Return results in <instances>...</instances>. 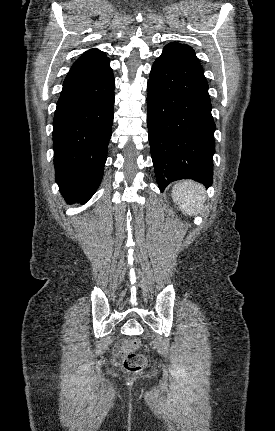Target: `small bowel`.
Returning <instances> with one entry per match:
<instances>
[{
    "instance_id": "1",
    "label": "small bowel",
    "mask_w": 275,
    "mask_h": 431,
    "mask_svg": "<svg viewBox=\"0 0 275 431\" xmlns=\"http://www.w3.org/2000/svg\"><path fill=\"white\" fill-rule=\"evenodd\" d=\"M124 343H118L114 349V357L116 360H120L125 355Z\"/></svg>"
}]
</instances>
